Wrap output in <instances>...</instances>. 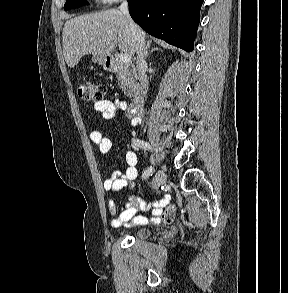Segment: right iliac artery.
<instances>
[{
	"label": "right iliac artery",
	"instance_id": "1",
	"mask_svg": "<svg viewBox=\"0 0 288 293\" xmlns=\"http://www.w3.org/2000/svg\"><path fill=\"white\" fill-rule=\"evenodd\" d=\"M133 144H134L135 146L140 147V148L145 149V150L150 148V146H149V144H148L147 142H144V141H142V140H140V139H134V140H133ZM152 172H153V168H152V167L146 169V170L143 172V174H142V179H146V178H148L149 176H152ZM142 206H143V205H142Z\"/></svg>",
	"mask_w": 288,
	"mask_h": 293
}]
</instances>
